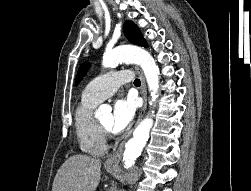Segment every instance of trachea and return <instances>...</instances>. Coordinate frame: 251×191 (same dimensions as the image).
<instances>
[{
  "mask_svg": "<svg viewBox=\"0 0 251 191\" xmlns=\"http://www.w3.org/2000/svg\"><path fill=\"white\" fill-rule=\"evenodd\" d=\"M140 80L138 79V78H136L135 80H134V85L135 86H140Z\"/></svg>",
  "mask_w": 251,
  "mask_h": 191,
  "instance_id": "obj_1",
  "label": "trachea"
}]
</instances>
